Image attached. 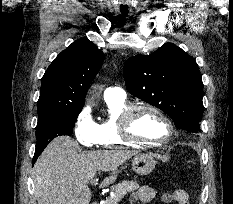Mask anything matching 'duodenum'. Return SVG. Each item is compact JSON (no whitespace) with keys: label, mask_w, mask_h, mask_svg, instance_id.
Instances as JSON below:
<instances>
[{"label":"duodenum","mask_w":233,"mask_h":204,"mask_svg":"<svg viewBox=\"0 0 233 204\" xmlns=\"http://www.w3.org/2000/svg\"><path fill=\"white\" fill-rule=\"evenodd\" d=\"M92 204H99V203L95 202V203H92Z\"/></svg>","instance_id":"obj_1"}]
</instances>
